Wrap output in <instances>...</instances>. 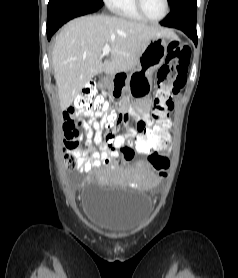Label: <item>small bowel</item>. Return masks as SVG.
Wrapping results in <instances>:
<instances>
[{
	"mask_svg": "<svg viewBox=\"0 0 238 278\" xmlns=\"http://www.w3.org/2000/svg\"><path fill=\"white\" fill-rule=\"evenodd\" d=\"M149 105L147 102H141L140 104H124L122 113L119 115L118 127L124 133L118 134L116 137H146L145 133L150 129V125L154 124L153 119L148 113ZM81 113H73L71 109L65 111L62 115L63 125L67 120H73L83 127L85 130V139L87 148L83 151H75L77 157V168L82 172H90L101 165H106L112 162V160L119 153H114L109 150L107 146L103 145V139L100 136V131L104 127L107 119L113 116V112H85V115L89 117V121L85 122L79 116ZM135 120L137 123L136 129L130 127L129 122ZM115 137V139H116ZM67 140V137L65 135ZM78 142L81 140V135L76 139ZM169 140V135L164 136V141ZM95 145V147L93 146ZM125 148L123 146L122 150ZM124 154V151L121 152ZM145 182L148 185L155 183V178L151 173H148L145 178Z\"/></svg>",
	"mask_w": 238,
	"mask_h": 278,
	"instance_id": "obj_1",
	"label": "small bowel"
}]
</instances>
